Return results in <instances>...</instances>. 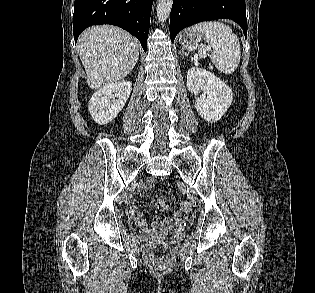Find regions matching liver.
<instances>
[{"mask_svg": "<svg viewBox=\"0 0 315 293\" xmlns=\"http://www.w3.org/2000/svg\"><path fill=\"white\" fill-rule=\"evenodd\" d=\"M77 48L91 89L123 79L139 57L138 41L112 25L88 28L80 35Z\"/></svg>", "mask_w": 315, "mask_h": 293, "instance_id": "liver-1", "label": "liver"}]
</instances>
